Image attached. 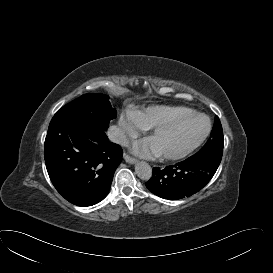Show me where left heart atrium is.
Masks as SVG:
<instances>
[{
	"instance_id": "39dd6f15",
	"label": "left heart atrium",
	"mask_w": 273,
	"mask_h": 273,
	"mask_svg": "<svg viewBox=\"0 0 273 273\" xmlns=\"http://www.w3.org/2000/svg\"><path fill=\"white\" fill-rule=\"evenodd\" d=\"M138 153L143 154L146 157H150V156H156L157 155V151L148 143L146 142H142L140 144V148L137 150Z\"/></svg>"
}]
</instances>
